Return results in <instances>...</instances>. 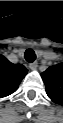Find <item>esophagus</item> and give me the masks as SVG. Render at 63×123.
Returning <instances> with one entry per match:
<instances>
[{"label":"esophagus","instance_id":"esophagus-1","mask_svg":"<svg viewBox=\"0 0 63 123\" xmlns=\"http://www.w3.org/2000/svg\"><path fill=\"white\" fill-rule=\"evenodd\" d=\"M29 67L31 70H36L38 67V64H37V62H33V63H30Z\"/></svg>","mask_w":63,"mask_h":123}]
</instances>
